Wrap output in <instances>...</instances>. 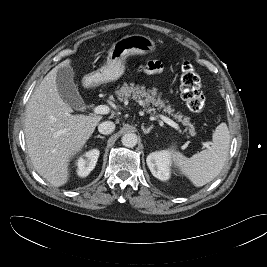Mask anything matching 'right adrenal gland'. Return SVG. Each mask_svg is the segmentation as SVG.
Returning <instances> with one entry per match:
<instances>
[{"mask_svg": "<svg viewBox=\"0 0 267 267\" xmlns=\"http://www.w3.org/2000/svg\"><path fill=\"white\" fill-rule=\"evenodd\" d=\"M95 137H97V138H101V139H104V138H105L104 136H101V135H97V136H95Z\"/></svg>", "mask_w": 267, "mask_h": 267, "instance_id": "obj_1", "label": "right adrenal gland"}]
</instances>
